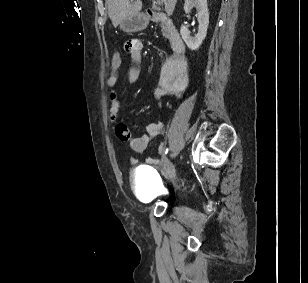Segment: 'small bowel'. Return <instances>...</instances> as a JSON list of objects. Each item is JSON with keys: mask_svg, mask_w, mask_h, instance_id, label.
Here are the masks:
<instances>
[{"mask_svg": "<svg viewBox=\"0 0 308 283\" xmlns=\"http://www.w3.org/2000/svg\"><path fill=\"white\" fill-rule=\"evenodd\" d=\"M125 51L129 54L132 61L136 64L128 71L129 83H136L141 74V70L138 64L142 59L143 44L139 39H130L124 45ZM118 82V70H113L111 75L107 79V85L110 88H114ZM188 85L187 67L186 63L182 59L170 58L162 68L159 88L154 91V97L157 100L166 96L181 97ZM110 108L109 114L112 122H116L120 112V101L118 93L112 91L109 96ZM164 125L162 122L151 123L146 127L145 133L134 136L128 126L122 122H119L115 126V133L118 139L128 142L131 149L135 152L141 153L146 150L151 137L157 136L162 133ZM165 150V144L161 143L158 147V151L161 153ZM134 163V160H131ZM147 163L154 165L157 163L155 157L147 159Z\"/></svg>", "mask_w": 308, "mask_h": 283, "instance_id": "obj_1", "label": "small bowel"}]
</instances>
